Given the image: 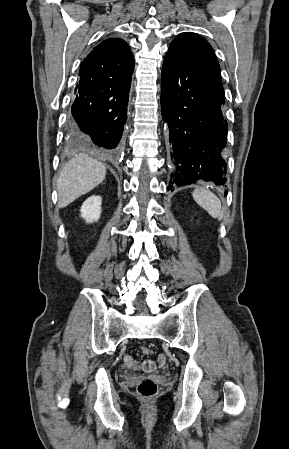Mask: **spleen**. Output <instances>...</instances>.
Segmentation results:
<instances>
[{"label":"spleen","mask_w":289,"mask_h":449,"mask_svg":"<svg viewBox=\"0 0 289 449\" xmlns=\"http://www.w3.org/2000/svg\"><path fill=\"white\" fill-rule=\"evenodd\" d=\"M192 195L197 204L204 208L213 218L222 220V205L213 192L204 188H198L193 191Z\"/></svg>","instance_id":"3e777b00"}]
</instances>
